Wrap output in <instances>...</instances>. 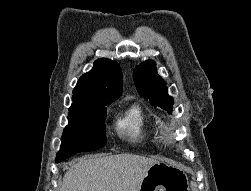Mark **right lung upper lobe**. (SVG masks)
Here are the masks:
<instances>
[{
    "label": "right lung upper lobe",
    "mask_w": 251,
    "mask_h": 191,
    "mask_svg": "<svg viewBox=\"0 0 251 191\" xmlns=\"http://www.w3.org/2000/svg\"><path fill=\"white\" fill-rule=\"evenodd\" d=\"M122 93V72L110 59H98L91 71L80 77L73 90L69 111L87 106L108 105Z\"/></svg>",
    "instance_id": "obj_1"
}]
</instances>
